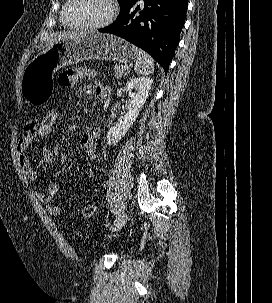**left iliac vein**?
Segmentation results:
<instances>
[{
    "label": "left iliac vein",
    "instance_id": "left-iliac-vein-1",
    "mask_svg": "<svg viewBox=\"0 0 272 303\" xmlns=\"http://www.w3.org/2000/svg\"><path fill=\"white\" fill-rule=\"evenodd\" d=\"M127 213H122L119 215V222L116 223V225L113 226L112 228V232H116V231H119L123 226L124 224L126 223L127 221Z\"/></svg>",
    "mask_w": 272,
    "mask_h": 303
}]
</instances>
